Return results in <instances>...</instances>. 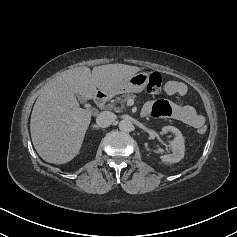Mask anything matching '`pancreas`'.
Here are the masks:
<instances>
[{
	"instance_id": "pancreas-1",
	"label": "pancreas",
	"mask_w": 237,
	"mask_h": 237,
	"mask_svg": "<svg viewBox=\"0 0 237 237\" xmlns=\"http://www.w3.org/2000/svg\"><path fill=\"white\" fill-rule=\"evenodd\" d=\"M134 98H135V95H133V94H127V95H125V96H124V99L117 98L116 100H113V101L111 102V104H109V108L114 109V110H116V111H120V110H122V109L124 108V105H125V103L127 102V100H129V99H134ZM116 103H120V104H121V107H115V104H116Z\"/></svg>"
}]
</instances>
